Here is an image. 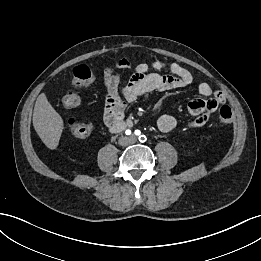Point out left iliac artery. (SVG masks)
I'll use <instances>...</instances> for the list:
<instances>
[{"label":"left iliac artery","mask_w":261,"mask_h":261,"mask_svg":"<svg viewBox=\"0 0 261 261\" xmlns=\"http://www.w3.org/2000/svg\"><path fill=\"white\" fill-rule=\"evenodd\" d=\"M140 133H141L140 130L135 131L136 135H140ZM139 140H140V142H145L147 140V138L145 135H141V136H139Z\"/></svg>","instance_id":"1"}]
</instances>
